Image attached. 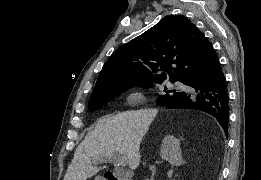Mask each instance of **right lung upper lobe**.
<instances>
[{
    "label": "right lung upper lobe",
    "mask_w": 261,
    "mask_h": 180,
    "mask_svg": "<svg viewBox=\"0 0 261 180\" xmlns=\"http://www.w3.org/2000/svg\"><path fill=\"white\" fill-rule=\"evenodd\" d=\"M218 61L212 44L193 23L182 15L166 16L111 55L90 99L153 79L183 82L195 70Z\"/></svg>",
    "instance_id": "1"
}]
</instances>
